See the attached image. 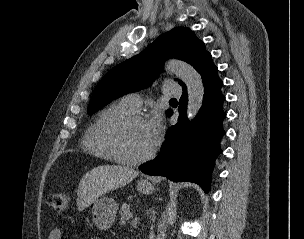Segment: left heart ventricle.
<instances>
[{"label":"left heart ventricle","mask_w":304,"mask_h":239,"mask_svg":"<svg viewBox=\"0 0 304 239\" xmlns=\"http://www.w3.org/2000/svg\"><path fill=\"white\" fill-rule=\"evenodd\" d=\"M152 145L146 129V122L133 123L124 130L120 139L121 151L127 157L142 156L148 152Z\"/></svg>","instance_id":"obj_1"}]
</instances>
